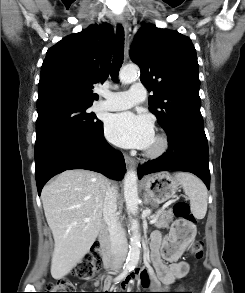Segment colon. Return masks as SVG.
Masks as SVG:
<instances>
[{
    "label": "colon",
    "mask_w": 245,
    "mask_h": 293,
    "mask_svg": "<svg viewBox=\"0 0 245 293\" xmlns=\"http://www.w3.org/2000/svg\"><path fill=\"white\" fill-rule=\"evenodd\" d=\"M173 213L178 221L172 228V238L185 232V223H194L195 218L191 214L189 205L184 201H178L173 206ZM191 255L196 260H201L204 256V243L202 240H195L191 245ZM102 264L101 254L98 247L95 246L93 251L87 254L74 268L73 275L79 279H89L93 272L100 268ZM186 287H180L179 291H186ZM78 291L76 286L67 279H59L55 282L47 284L45 292L42 293H82ZM173 293H192V292H173Z\"/></svg>",
    "instance_id": "1"
}]
</instances>
